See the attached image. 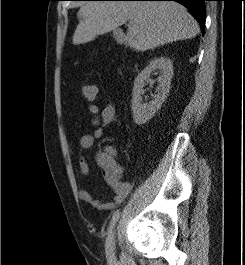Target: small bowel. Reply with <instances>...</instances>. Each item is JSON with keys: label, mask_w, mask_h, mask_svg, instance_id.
<instances>
[{"label": "small bowel", "mask_w": 245, "mask_h": 265, "mask_svg": "<svg viewBox=\"0 0 245 265\" xmlns=\"http://www.w3.org/2000/svg\"><path fill=\"white\" fill-rule=\"evenodd\" d=\"M89 112L93 115L92 126L93 132L86 133L79 140L80 156L78 162V172L80 176H86L89 173V165L84 155L85 152L92 149L96 140L100 139L112 123L116 121L117 111L114 103L108 101L105 107L100 111L95 104L88 106ZM73 153V148L70 147ZM117 151L114 146L108 145L96 154V162L102 169L103 177L107 184L114 192V196L109 201H102L95 198L88 190L81 189L79 197L82 201L90 204L99 210H111L121 204L132 189V185L128 181L120 179L121 166L116 159ZM104 159H109L112 163V168L104 165Z\"/></svg>", "instance_id": "obj_1"}]
</instances>
